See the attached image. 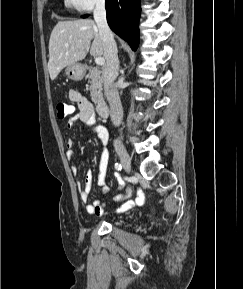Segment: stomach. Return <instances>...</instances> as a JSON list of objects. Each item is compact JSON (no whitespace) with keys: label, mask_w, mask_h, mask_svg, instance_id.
I'll return each mask as SVG.
<instances>
[{"label":"stomach","mask_w":243,"mask_h":289,"mask_svg":"<svg viewBox=\"0 0 243 289\" xmlns=\"http://www.w3.org/2000/svg\"><path fill=\"white\" fill-rule=\"evenodd\" d=\"M65 74L73 80H81L85 75V67L79 63L69 65L65 69Z\"/></svg>","instance_id":"0dacf381"}]
</instances>
